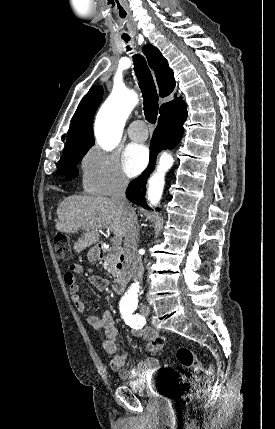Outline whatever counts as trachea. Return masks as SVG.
<instances>
[{"mask_svg":"<svg viewBox=\"0 0 275 429\" xmlns=\"http://www.w3.org/2000/svg\"><path fill=\"white\" fill-rule=\"evenodd\" d=\"M123 39L127 42L130 38L123 37ZM128 50H130L129 47ZM133 61L135 75L139 81L138 84L144 99L143 109L145 118L148 122L155 123L157 120L159 105L158 95L151 72L146 64L145 59L141 55H134Z\"/></svg>","mask_w":275,"mask_h":429,"instance_id":"1","label":"trachea"}]
</instances>
